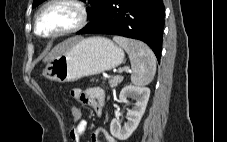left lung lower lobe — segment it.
I'll return each instance as SVG.
<instances>
[{
	"instance_id": "left-lung-lower-lobe-1",
	"label": "left lung lower lobe",
	"mask_w": 227,
	"mask_h": 142,
	"mask_svg": "<svg viewBox=\"0 0 227 142\" xmlns=\"http://www.w3.org/2000/svg\"><path fill=\"white\" fill-rule=\"evenodd\" d=\"M165 8L162 0H107L76 34H114L138 39L161 58Z\"/></svg>"
}]
</instances>
